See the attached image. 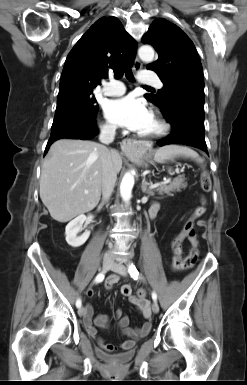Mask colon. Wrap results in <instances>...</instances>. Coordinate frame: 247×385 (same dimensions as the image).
Masks as SVG:
<instances>
[{
  "label": "colon",
  "mask_w": 247,
  "mask_h": 385,
  "mask_svg": "<svg viewBox=\"0 0 247 385\" xmlns=\"http://www.w3.org/2000/svg\"><path fill=\"white\" fill-rule=\"evenodd\" d=\"M200 186L203 192H209L211 190V178L206 170L202 169L200 175ZM206 210V199L205 197L201 198V205L196 209V214L201 216ZM186 235L188 237L195 236V231L192 226H187L185 228ZM182 237H177L172 244L174 251V264L179 267H192L196 264L198 259V250L192 248L189 255L186 258H182ZM121 293L127 295L130 293V287L128 285L123 286Z\"/></svg>",
  "instance_id": "colon-1"
}]
</instances>
